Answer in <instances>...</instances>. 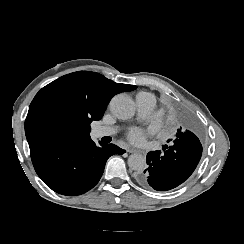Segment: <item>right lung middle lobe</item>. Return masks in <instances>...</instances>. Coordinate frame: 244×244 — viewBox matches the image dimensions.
I'll return each mask as SVG.
<instances>
[{"label":"right lung middle lobe","instance_id":"dd1d6c3e","mask_svg":"<svg viewBox=\"0 0 244 244\" xmlns=\"http://www.w3.org/2000/svg\"><path fill=\"white\" fill-rule=\"evenodd\" d=\"M90 123L86 108L65 106L52 111L35 112L28 122V132L37 140L75 141L89 136Z\"/></svg>","mask_w":244,"mask_h":244}]
</instances>
